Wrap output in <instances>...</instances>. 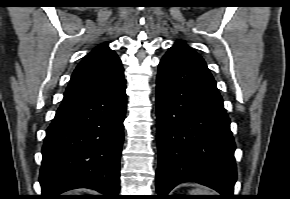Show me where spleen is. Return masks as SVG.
Segmentation results:
<instances>
[{
	"label": "spleen",
	"mask_w": 290,
	"mask_h": 199,
	"mask_svg": "<svg viewBox=\"0 0 290 199\" xmlns=\"http://www.w3.org/2000/svg\"><path fill=\"white\" fill-rule=\"evenodd\" d=\"M190 195H213L212 193H209L207 189H195L190 191Z\"/></svg>",
	"instance_id": "spleen-1"
}]
</instances>
